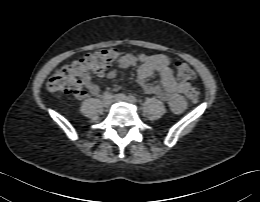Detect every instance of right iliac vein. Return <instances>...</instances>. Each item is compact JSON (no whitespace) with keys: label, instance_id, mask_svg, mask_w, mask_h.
I'll return each instance as SVG.
<instances>
[{"label":"right iliac vein","instance_id":"right-iliac-vein-1","mask_svg":"<svg viewBox=\"0 0 260 202\" xmlns=\"http://www.w3.org/2000/svg\"><path fill=\"white\" fill-rule=\"evenodd\" d=\"M111 103H112L111 98L104 97V98L102 99V105H103L104 107H106V108H108V107L111 105Z\"/></svg>","mask_w":260,"mask_h":202}]
</instances>
